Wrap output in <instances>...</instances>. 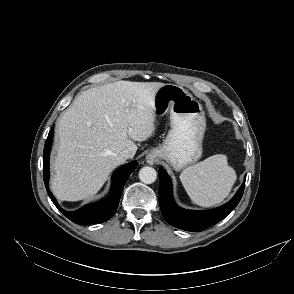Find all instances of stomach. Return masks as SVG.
Returning a JSON list of instances; mask_svg holds the SVG:
<instances>
[{
	"label": "stomach",
	"mask_w": 294,
	"mask_h": 294,
	"mask_svg": "<svg viewBox=\"0 0 294 294\" xmlns=\"http://www.w3.org/2000/svg\"><path fill=\"white\" fill-rule=\"evenodd\" d=\"M154 111L156 116L170 112L171 129L164 142L148 154V160L160 157L175 170L198 161L206 130L202 105L181 86L164 84L155 92Z\"/></svg>",
	"instance_id": "1"
}]
</instances>
